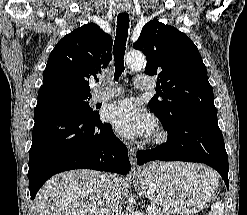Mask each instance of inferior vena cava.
<instances>
[{
    "label": "inferior vena cava",
    "mask_w": 247,
    "mask_h": 215,
    "mask_svg": "<svg viewBox=\"0 0 247 215\" xmlns=\"http://www.w3.org/2000/svg\"><path fill=\"white\" fill-rule=\"evenodd\" d=\"M107 193L105 199V215H123L122 207L119 203L121 198V190L118 184L107 180Z\"/></svg>",
    "instance_id": "inferior-vena-cava-1"
}]
</instances>
